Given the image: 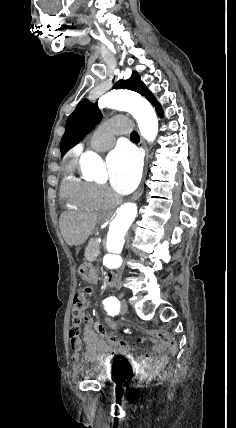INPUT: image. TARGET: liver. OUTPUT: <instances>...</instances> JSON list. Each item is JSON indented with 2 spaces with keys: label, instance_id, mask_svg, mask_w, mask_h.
Instances as JSON below:
<instances>
[{
  "label": "liver",
  "instance_id": "6515ba94",
  "mask_svg": "<svg viewBox=\"0 0 236 428\" xmlns=\"http://www.w3.org/2000/svg\"><path fill=\"white\" fill-rule=\"evenodd\" d=\"M99 214L87 212H63L59 218V228L68 246H81L92 234Z\"/></svg>",
  "mask_w": 236,
  "mask_h": 428
}]
</instances>
